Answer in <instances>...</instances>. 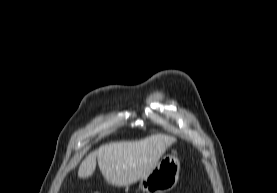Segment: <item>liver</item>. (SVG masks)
Listing matches in <instances>:
<instances>
[{
    "instance_id": "liver-1",
    "label": "liver",
    "mask_w": 277,
    "mask_h": 193,
    "mask_svg": "<svg viewBox=\"0 0 277 193\" xmlns=\"http://www.w3.org/2000/svg\"><path fill=\"white\" fill-rule=\"evenodd\" d=\"M175 138L156 134L137 141L112 142L91 152L81 163L79 178L92 176L98 166L105 180L115 186H128L157 165Z\"/></svg>"
}]
</instances>
